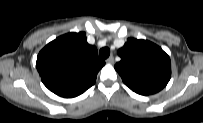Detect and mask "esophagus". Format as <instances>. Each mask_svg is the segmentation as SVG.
I'll return each instance as SVG.
<instances>
[{"label":"esophagus","instance_id":"1","mask_svg":"<svg viewBox=\"0 0 203 123\" xmlns=\"http://www.w3.org/2000/svg\"><path fill=\"white\" fill-rule=\"evenodd\" d=\"M106 63L113 64L114 63V57L110 56L108 59H106Z\"/></svg>","mask_w":203,"mask_h":123}]
</instances>
